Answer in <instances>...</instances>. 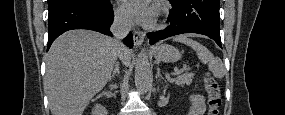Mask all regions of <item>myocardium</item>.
Listing matches in <instances>:
<instances>
[{
	"instance_id": "obj_1",
	"label": "myocardium",
	"mask_w": 285,
	"mask_h": 115,
	"mask_svg": "<svg viewBox=\"0 0 285 115\" xmlns=\"http://www.w3.org/2000/svg\"><path fill=\"white\" fill-rule=\"evenodd\" d=\"M166 14H167V7L164 4H159L157 6V20L155 23L151 24L150 27L152 28L159 27Z\"/></svg>"
}]
</instances>
